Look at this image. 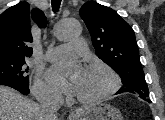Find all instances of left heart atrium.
I'll return each mask as SVG.
<instances>
[{
    "mask_svg": "<svg viewBox=\"0 0 165 120\" xmlns=\"http://www.w3.org/2000/svg\"><path fill=\"white\" fill-rule=\"evenodd\" d=\"M84 72L85 70L78 65L56 66L49 71L48 78L61 90L75 94Z\"/></svg>",
    "mask_w": 165,
    "mask_h": 120,
    "instance_id": "obj_1",
    "label": "left heart atrium"
}]
</instances>
